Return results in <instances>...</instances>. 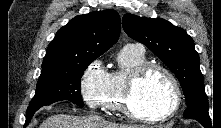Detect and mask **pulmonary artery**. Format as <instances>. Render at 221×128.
I'll list each match as a JSON object with an SVG mask.
<instances>
[{
  "mask_svg": "<svg viewBox=\"0 0 221 128\" xmlns=\"http://www.w3.org/2000/svg\"><path fill=\"white\" fill-rule=\"evenodd\" d=\"M136 47H138L139 49L143 50V47L141 44H135Z\"/></svg>",
  "mask_w": 221,
  "mask_h": 128,
  "instance_id": "pulmonary-artery-1",
  "label": "pulmonary artery"
}]
</instances>
